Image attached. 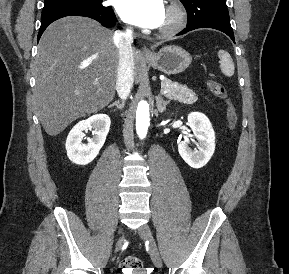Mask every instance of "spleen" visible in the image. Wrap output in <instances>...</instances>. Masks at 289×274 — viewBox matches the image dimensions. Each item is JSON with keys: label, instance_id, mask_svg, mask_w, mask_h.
I'll return each mask as SVG.
<instances>
[{"label": "spleen", "instance_id": "1", "mask_svg": "<svg viewBox=\"0 0 289 274\" xmlns=\"http://www.w3.org/2000/svg\"><path fill=\"white\" fill-rule=\"evenodd\" d=\"M218 57L220 58V68L225 76L231 77L234 74V63L230 54L224 50L218 52Z\"/></svg>", "mask_w": 289, "mask_h": 274}]
</instances>
